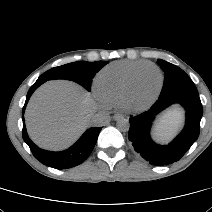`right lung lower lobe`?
Listing matches in <instances>:
<instances>
[{
    "label": "right lung lower lobe",
    "mask_w": 212,
    "mask_h": 212,
    "mask_svg": "<svg viewBox=\"0 0 212 212\" xmlns=\"http://www.w3.org/2000/svg\"><path fill=\"white\" fill-rule=\"evenodd\" d=\"M45 81L43 79H37V81L31 86L27 93L25 105L22 110V114H24L26 105L32 93ZM23 120V131L22 136L24 141L30 147V150L34 157L39 160L42 164L56 168V169H67L74 166L79 165L82 163L91 153L93 150L99 132L101 130L100 127L98 128H90L88 129L80 139L69 149L61 152H51L40 149L37 147L29 138L25 123H24V116H22Z\"/></svg>",
    "instance_id": "98d812e1"
}]
</instances>
